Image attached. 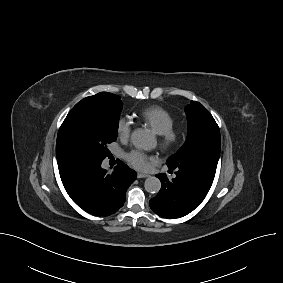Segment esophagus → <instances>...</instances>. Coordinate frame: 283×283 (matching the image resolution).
<instances>
[{
    "label": "esophagus",
    "instance_id": "obj_1",
    "mask_svg": "<svg viewBox=\"0 0 283 283\" xmlns=\"http://www.w3.org/2000/svg\"><path fill=\"white\" fill-rule=\"evenodd\" d=\"M149 175L148 174H144V173H138L137 177L140 178H147Z\"/></svg>",
    "mask_w": 283,
    "mask_h": 283
}]
</instances>
